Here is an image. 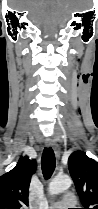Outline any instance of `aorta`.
<instances>
[{
    "label": "aorta",
    "instance_id": "obj_1",
    "mask_svg": "<svg viewBox=\"0 0 98 209\" xmlns=\"http://www.w3.org/2000/svg\"><path fill=\"white\" fill-rule=\"evenodd\" d=\"M72 180L68 176L55 177L49 184L48 192L52 195L62 193L70 188Z\"/></svg>",
    "mask_w": 98,
    "mask_h": 209
}]
</instances>
